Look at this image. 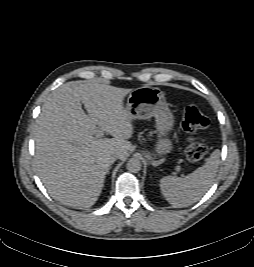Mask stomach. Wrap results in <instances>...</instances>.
<instances>
[{"mask_svg": "<svg viewBox=\"0 0 254 267\" xmlns=\"http://www.w3.org/2000/svg\"><path fill=\"white\" fill-rule=\"evenodd\" d=\"M126 110L132 119L155 118L159 138L153 153L145 151L150 160L166 156L172 151L169 133L173 130L175 119L164 93L159 88L142 86L132 90L127 98Z\"/></svg>", "mask_w": 254, "mask_h": 267, "instance_id": "0dacf381", "label": "stomach"}]
</instances>
